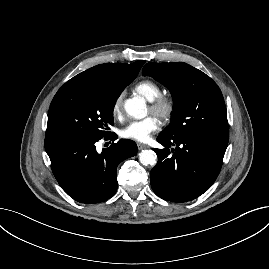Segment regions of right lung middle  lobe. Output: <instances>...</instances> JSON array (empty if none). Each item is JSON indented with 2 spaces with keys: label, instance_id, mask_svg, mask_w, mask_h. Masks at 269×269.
<instances>
[{
  "label": "right lung middle lobe",
  "instance_id": "dd1d6c3e",
  "mask_svg": "<svg viewBox=\"0 0 269 269\" xmlns=\"http://www.w3.org/2000/svg\"><path fill=\"white\" fill-rule=\"evenodd\" d=\"M132 80H69L54 96L46 137L64 134L94 138L109 136L117 98Z\"/></svg>",
  "mask_w": 269,
  "mask_h": 269
}]
</instances>
